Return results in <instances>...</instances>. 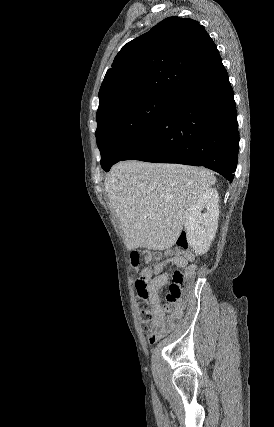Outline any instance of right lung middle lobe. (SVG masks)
Instances as JSON below:
<instances>
[{"mask_svg": "<svg viewBox=\"0 0 274 427\" xmlns=\"http://www.w3.org/2000/svg\"><path fill=\"white\" fill-rule=\"evenodd\" d=\"M176 96L152 94L110 106L97 117L96 139L102 168L126 156L160 121Z\"/></svg>", "mask_w": 274, "mask_h": 427, "instance_id": "dd1d6c3e", "label": "right lung middle lobe"}]
</instances>
